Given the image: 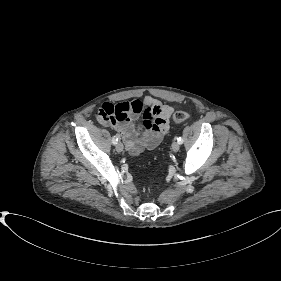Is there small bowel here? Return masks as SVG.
I'll list each match as a JSON object with an SVG mask.
<instances>
[{"mask_svg": "<svg viewBox=\"0 0 281 281\" xmlns=\"http://www.w3.org/2000/svg\"><path fill=\"white\" fill-rule=\"evenodd\" d=\"M135 102L140 106L137 111L132 109ZM128 104L130 112L123 121H102L117 131L130 154L137 155L144 149L155 148L169 132L173 108L152 97H145L142 102L133 101ZM141 114L143 121L136 127L134 122Z\"/></svg>", "mask_w": 281, "mask_h": 281, "instance_id": "1", "label": "small bowel"}]
</instances>
